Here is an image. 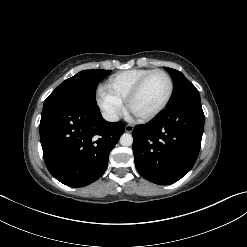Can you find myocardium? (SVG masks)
<instances>
[{"instance_id": "obj_1", "label": "myocardium", "mask_w": 247, "mask_h": 247, "mask_svg": "<svg viewBox=\"0 0 247 247\" xmlns=\"http://www.w3.org/2000/svg\"><path fill=\"white\" fill-rule=\"evenodd\" d=\"M154 74H162L167 78V80L169 82V90H168L167 96H166L165 100L163 101V103L158 108H156L154 111H152V112H150L148 114H145V115H135L131 111V105H132L133 101L136 99V97L139 95V93L141 92V90L144 87V85L147 82V80ZM173 92H174V82H173V79H172L171 75L168 72H166L165 70H162V69L151 70L149 73H147L145 76H143L137 82V84L134 86V88L129 93V95H128L127 99H126L127 110L130 113H132L140 121L152 120L153 118L158 116L168 106V104H169V102H170V100H171V98L173 96Z\"/></svg>"}]
</instances>
